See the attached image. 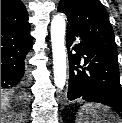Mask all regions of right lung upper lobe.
Segmentation results:
<instances>
[{
  "instance_id": "obj_1",
  "label": "right lung upper lobe",
  "mask_w": 122,
  "mask_h": 123,
  "mask_svg": "<svg viewBox=\"0 0 122 123\" xmlns=\"http://www.w3.org/2000/svg\"><path fill=\"white\" fill-rule=\"evenodd\" d=\"M28 30V12L20 0H1V29Z\"/></svg>"
}]
</instances>
